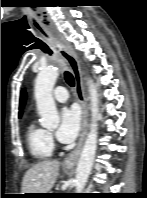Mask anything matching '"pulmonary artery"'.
Instances as JSON below:
<instances>
[{
	"mask_svg": "<svg viewBox=\"0 0 147 198\" xmlns=\"http://www.w3.org/2000/svg\"><path fill=\"white\" fill-rule=\"evenodd\" d=\"M53 97L58 102H65L68 99V91L65 87L58 86L53 91Z\"/></svg>",
	"mask_w": 147,
	"mask_h": 198,
	"instance_id": "pulmonary-artery-1",
	"label": "pulmonary artery"
}]
</instances>
